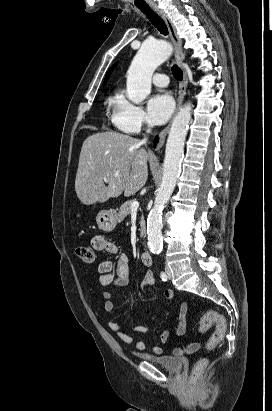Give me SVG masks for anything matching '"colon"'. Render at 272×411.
I'll list each match as a JSON object with an SVG mask.
<instances>
[{
	"instance_id": "1",
	"label": "colon",
	"mask_w": 272,
	"mask_h": 411,
	"mask_svg": "<svg viewBox=\"0 0 272 411\" xmlns=\"http://www.w3.org/2000/svg\"><path fill=\"white\" fill-rule=\"evenodd\" d=\"M76 254L85 263L94 262V252L89 247H77ZM213 325H215V330L211 334L209 340L206 342L205 347L207 350H212L218 344H220L224 340L227 331V321L225 317L215 311H209L202 316L199 324V330L201 332H206ZM207 365L208 359L206 357H201L196 361L191 374V383L194 386L199 385L200 375L205 370Z\"/></svg>"
}]
</instances>
